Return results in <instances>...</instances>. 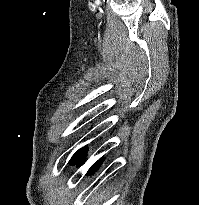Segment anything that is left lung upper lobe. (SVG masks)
Segmentation results:
<instances>
[{"label":"left lung upper lobe","instance_id":"5c2ea615","mask_svg":"<svg viewBox=\"0 0 199 205\" xmlns=\"http://www.w3.org/2000/svg\"><path fill=\"white\" fill-rule=\"evenodd\" d=\"M81 150H82V149H79V150L72 156L71 160L69 161L70 164H74V163H75V161H76V159H77V157H78V155H79V153H80Z\"/></svg>","mask_w":199,"mask_h":205}]
</instances>
